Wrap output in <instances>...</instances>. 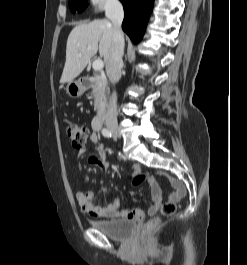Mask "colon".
Wrapping results in <instances>:
<instances>
[{"label": "colon", "mask_w": 247, "mask_h": 265, "mask_svg": "<svg viewBox=\"0 0 247 265\" xmlns=\"http://www.w3.org/2000/svg\"><path fill=\"white\" fill-rule=\"evenodd\" d=\"M66 134L71 140L74 148L83 149L88 141L89 130L84 125L70 123L66 126ZM144 182H148L150 185H152L155 182V179L153 176L144 173L136 175L135 178L133 179L134 186H139ZM176 209H177L176 202L170 200L162 205L160 213L164 217H169L176 212ZM159 223H160L159 218H154L146 224L145 229L147 231L153 230L159 225Z\"/></svg>", "instance_id": "5ec220e1"}]
</instances>
